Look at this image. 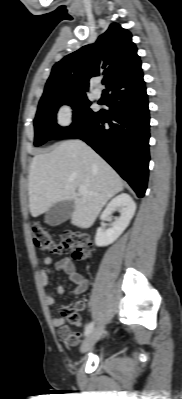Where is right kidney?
<instances>
[{
  "label": "right kidney",
  "mask_w": 182,
  "mask_h": 399,
  "mask_svg": "<svg viewBox=\"0 0 182 399\" xmlns=\"http://www.w3.org/2000/svg\"><path fill=\"white\" fill-rule=\"evenodd\" d=\"M116 209L119 210L121 214L120 217L116 218L112 228L105 230L102 227H99L97 229L95 235L96 246H107L118 239L133 218L136 204L130 195L127 193H121L108 203L105 210L102 212L100 219L103 221L106 220V218Z\"/></svg>",
  "instance_id": "right-kidney-1"
}]
</instances>
